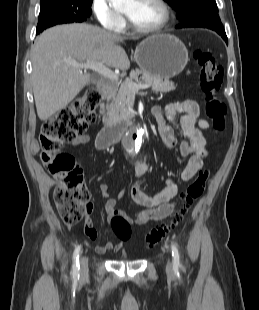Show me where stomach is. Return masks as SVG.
<instances>
[{"instance_id": "stomach-1", "label": "stomach", "mask_w": 259, "mask_h": 310, "mask_svg": "<svg viewBox=\"0 0 259 310\" xmlns=\"http://www.w3.org/2000/svg\"><path fill=\"white\" fill-rule=\"evenodd\" d=\"M134 58L143 72L157 78L170 79L184 70L188 52L176 36L157 34L146 38L136 47Z\"/></svg>"}]
</instances>
